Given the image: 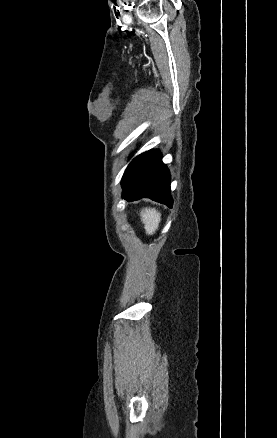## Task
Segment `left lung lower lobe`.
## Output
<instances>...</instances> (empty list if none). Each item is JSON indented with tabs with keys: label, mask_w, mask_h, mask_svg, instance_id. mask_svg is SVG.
I'll return each instance as SVG.
<instances>
[{
	"label": "left lung lower lobe",
	"mask_w": 277,
	"mask_h": 438,
	"mask_svg": "<svg viewBox=\"0 0 277 438\" xmlns=\"http://www.w3.org/2000/svg\"><path fill=\"white\" fill-rule=\"evenodd\" d=\"M121 184L122 197L128 201L146 197L172 207L170 173L158 150L137 156L127 167Z\"/></svg>",
	"instance_id": "obj_1"
}]
</instances>
